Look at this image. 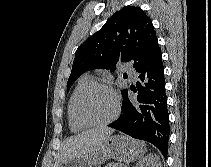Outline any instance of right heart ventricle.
I'll return each instance as SVG.
<instances>
[{
    "label": "right heart ventricle",
    "instance_id": "right-heart-ventricle-1",
    "mask_svg": "<svg viewBox=\"0 0 211 167\" xmlns=\"http://www.w3.org/2000/svg\"><path fill=\"white\" fill-rule=\"evenodd\" d=\"M89 81H90L89 76H87V75L81 76V77L78 79V81H77V83H76V85H75V87H74V89H73V91H72V93H71V95H70V97H69V100H68V105H67V118H68V123H69V126H70L71 130H73V131H75V132L81 131V130H84L85 128H87V126H85V125L79 123V122L75 119L74 114H73V104H74V100H75V97H76L77 93H78V92L80 91V89H81L84 85H86Z\"/></svg>",
    "mask_w": 211,
    "mask_h": 167
}]
</instances>
